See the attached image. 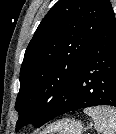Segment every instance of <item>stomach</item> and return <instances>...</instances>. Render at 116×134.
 <instances>
[{
	"mask_svg": "<svg viewBox=\"0 0 116 134\" xmlns=\"http://www.w3.org/2000/svg\"><path fill=\"white\" fill-rule=\"evenodd\" d=\"M84 130L81 121L63 119L49 125L41 134H83Z\"/></svg>",
	"mask_w": 116,
	"mask_h": 134,
	"instance_id": "1",
	"label": "stomach"
}]
</instances>
